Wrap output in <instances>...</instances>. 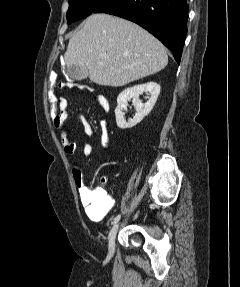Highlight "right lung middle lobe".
<instances>
[{
	"mask_svg": "<svg viewBox=\"0 0 240 287\" xmlns=\"http://www.w3.org/2000/svg\"><path fill=\"white\" fill-rule=\"evenodd\" d=\"M107 0H69L68 24L89 16Z\"/></svg>",
	"mask_w": 240,
	"mask_h": 287,
	"instance_id": "obj_1",
	"label": "right lung middle lobe"
}]
</instances>
